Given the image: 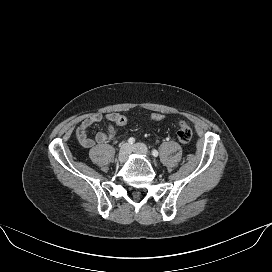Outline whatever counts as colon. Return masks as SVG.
Masks as SVG:
<instances>
[{"instance_id":"1","label":"colon","mask_w":272,"mask_h":272,"mask_svg":"<svg viewBox=\"0 0 272 272\" xmlns=\"http://www.w3.org/2000/svg\"><path fill=\"white\" fill-rule=\"evenodd\" d=\"M165 118V115L161 112H155L151 115L150 119L152 122H160ZM128 122V119L124 116L118 113L116 116L115 123L117 126L121 127L126 125ZM193 136V132L191 127L185 122L180 121L178 123L176 137L178 141L182 144H187L191 141Z\"/></svg>"}]
</instances>
